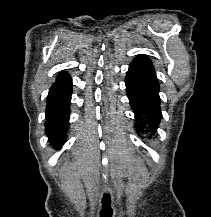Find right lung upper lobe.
<instances>
[{
    "instance_id": "1",
    "label": "right lung upper lobe",
    "mask_w": 211,
    "mask_h": 217,
    "mask_svg": "<svg viewBox=\"0 0 211 217\" xmlns=\"http://www.w3.org/2000/svg\"><path fill=\"white\" fill-rule=\"evenodd\" d=\"M69 75L66 73V72H62L58 75V78L56 81H59V80H63L65 78H67Z\"/></svg>"
}]
</instances>
